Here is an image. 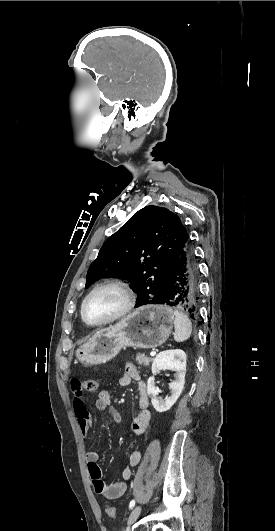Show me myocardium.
I'll use <instances>...</instances> for the list:
<instances>
[{"instance_id": "f54148a6", "label": "myocardium", "mask_w": 275, "mask_h": 531, "mask_svg": "<svg viewBox=\"0 0 275 531\" xmlns=\"http://www.w3.org/2000/svg\"><path fill=\"white\" fill-rule=\"evenodd\" d=\"M109 288H113V289H116L118 291L121 292V294L123 295V299H124V304H123V307L115 314H113L112 316L102 320V321H99V322H89L85 316H84V305L86 303V301L91 297L93 296L94 294H96L97 292L101 291V290H104V289H109ZM134 302H135V296H134V293H133V290L131 289V287L129 286L128 283L122 281V280H119V279H112V280H108V281H105L103 283H100L99 285L95 286L81 301V304H80V316H81V319L83 320L84 323H86L87 325H90V326H104V325H107V324H110L112 322H115L119 319H121L122 317H124L125 315H127L130 310L132 309L133 305H134Z\"/></svg>"}]
</instances>
